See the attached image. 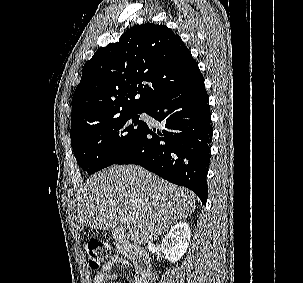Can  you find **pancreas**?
<instances>
[{
	"label": "pancreas",
	"instance_id": "1",
	"mask_svg": "<svg viewBox=\"0 0 303 283\" xmlns=\"http://www.w3.org/2000/svg\"><path fill=\"white\" fill-rule=\"evenodd\" d=\"M123 254H124L125 256H128V255H127V252H126L125 250L123 251Z\"/></svg>",
	"mask_w": 303,
	"mask_h": 283
}]
</instances>
